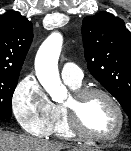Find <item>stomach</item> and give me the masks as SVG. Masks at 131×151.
<instances>
[{
    "mask_svg": "<svg viewBox=\"0 0 131 151\" xmlns=\"http://www.w3.org/2000/svg\"><path fill=\"white\" fill-rule=\"evenodd\" d=\"M87 151H102V150H100V149H92V150H87Z\"/></svg>",
    "mask_w": 131,
    "mask_h": 151,
    "instance_id": "1",
    "label": "stomach"
}]
</instances>
